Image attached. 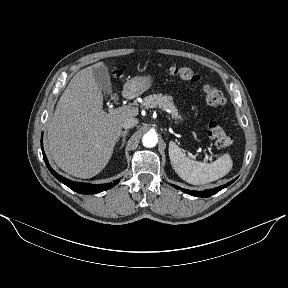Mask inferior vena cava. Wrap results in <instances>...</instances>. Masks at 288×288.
I'll list each match as a JSON object with an SVG mask.
<instances>
[{
    "label": "inferior vena cava",
    "instance_id": "obj_1",
    "mask_svg": "<svg viewBox=\"0 0 288 288\" xmlns=\"http://www.w3.org/2000/svg\"><path fill=\"white\" fill-rule=\"evenodd\" d=\"M137 124H138V119L135 117H130L124 121L122 127L124 129H130L136 126Z\"/></svg>",
    "mask_w": 288,
    "mask_h": 288
}]
</instances>
